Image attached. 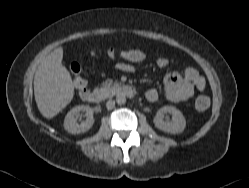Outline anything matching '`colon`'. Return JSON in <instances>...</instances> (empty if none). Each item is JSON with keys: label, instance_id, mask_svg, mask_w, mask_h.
<instances>
[{"label": "colon", "instance_id": "obj_1", "mask_svg": "<svg viewBox=\"0 0 249 188\" xmlns=\"http://www.w3.org/2000/svg\"><path fill=\"white\" fill-rule=\"evenodd\" d=\"M106 55L111 59L126 58V57L140 59L145 54L138 49H134L133 51L127 50V51L118 52L116 49L110 48L106 52ZM70 71L73 74L74 87L80 92V94L82 96H84L85 93L87 92V90H86L87 89V81L82 75V70H81L80 65L77 62H72L70 64ZM209 105H210V99L207 96H200L196 99L195 107L199 111L207 110Z\"/></svg>", "mask_w": 249, "mask_h": 188}]
</instances>
